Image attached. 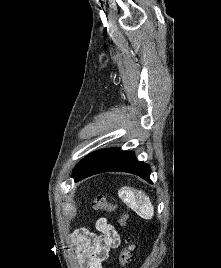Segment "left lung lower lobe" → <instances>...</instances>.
Here are the masks:
<instances>
[{
	"label": "left lung lower lobe",
	"mask_w": 221,
	"mask_h": 268,
	"mask_svg": "<svg viewBox=\"0 0 221 268\" xmlns=\"http://www.w3.org/2000/svg\"><path fill=\"white\" fill-rule=\"evenodd\" d=\"M108 171L132 173L151 182V169L147 164L136 160L134 152L116 148L98 150L87 155L75 167L73 178L77 182L88 176Z\"/></svg>",
	"instance_id": "0a47b994"
}]
</instances>
